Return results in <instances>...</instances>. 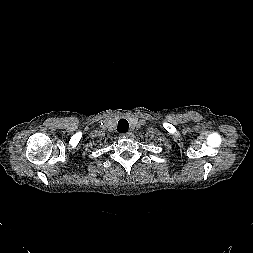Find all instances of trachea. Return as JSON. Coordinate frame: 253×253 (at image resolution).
Wrapping results in <instances>:
<instances>
[{
  "instance_id": "1",
  "label": "trachea",
  "mask_w": 253,
  "mask_h": 253,
  "mask_svg": "<svg viewBox=\"0 0 253 253\" xmlns=\"http://www.w3.org/2000/svg\"><path fill=\"white\" fill-rule=\"evenodd\" d=\"M128 128H129V124H128L127 120L120 119L118 122L117 131L120 133H125L128 131Z\"/></svg>"
}]
</instances>
